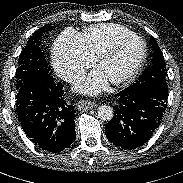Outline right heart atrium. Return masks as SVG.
<instances>
[{"label":"right heart atrium","instance_id":"1","mask_svg":"<svg viewBox=\"0 0 183 183\" xmlns=\"http://www.w3.org/2000/svg\"><path fill=\"white\" fill-rule=\"evenodd\" d=\"M52 61L60 77L75 83L92 66L94 59L85 50L78 33L65 31L53 45Z\"/></svg>","mask_w":183,"mask_h":183}]
</instances>
